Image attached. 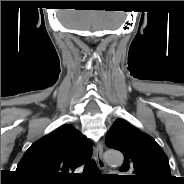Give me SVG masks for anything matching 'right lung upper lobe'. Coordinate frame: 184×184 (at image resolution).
Listing matches in <instances>:
<instances>
[{
	"instance_id": "cb5924a9",
	"label": "right lung upper lobe",
	"mask_w": 184,
	"mask_h": 184,
	"mask_svg": "<svg viewBox=\"0 0 184 184\" xmlns=\"http://www.w3.org/2000/svg\"><path fill=\"white\" fill-rule=\"evenodd\" d=\"M92 154L90 140L70 124L34 142L16 171L26 181L62 184L72 180L74 170Z\"/></svg>"
}]
</instances>
